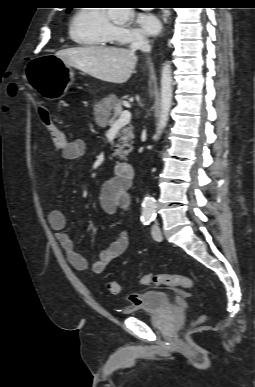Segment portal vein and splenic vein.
I'll list each match as a JSON object with an SVG mask.
<instances>
[{"label":"portal vein and splenic vein","mask_w":255,"mask_h":387,"mask_svg":"<svg viewBox=\"0 0 255 387\" xmlns=\"http://www.w3.org/2000/svg\"><path fill=\"white\" fill-rule=\"evenodd\" d=\"M131 120V113L128 110L122 112L118 120L114 123V127H121L128 124Z\"/></svg>","instance_id":"18ae733b"}]
</instances>
